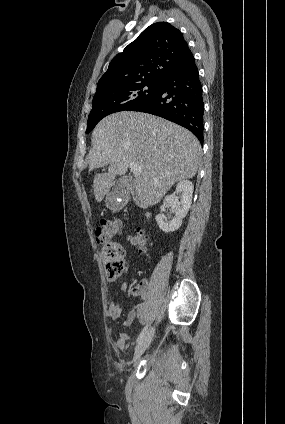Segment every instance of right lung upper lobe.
Returning <instances> with one entry per match:
<instances>
[{
  "label": "right lung upper lobe",
  "mask_w": 285,
  "mask_h": 424,
  "mask_svg": "<svg viewBox=\"0 0 285 424\" xmlns=\"http://www.w3.org/2000/svg\"><path fill=\"white\" fill-rule=\"evenodd\" d=\"M194 60L182 33L167 22L147 27L117 54L100 78L97 90L139 81H162Z\"/></svg>",
  "instance_id": "cb5924a9"
}]
</instances>
